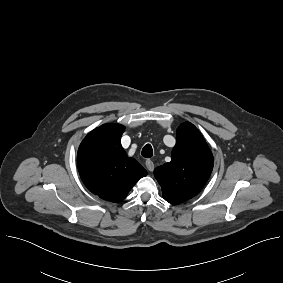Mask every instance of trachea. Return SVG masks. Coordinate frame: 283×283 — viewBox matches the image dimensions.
<instances>
[{
    "mask_svg": "<svg viewBox=\"0 0 283 283\" xmlns=\"http://www.w3.org/2000/svg\"><path fill=\"white\" fill-rule=\"evenodd\" d=\"M142 156L145 158H151L153 156V149L150 144H146L141 152Z\"/></svg>",
    "mask_w": 283,
    "mask_h": 283,
    "instance_id": "obj_1",
    "label": "trachea"
}]
</instances>
